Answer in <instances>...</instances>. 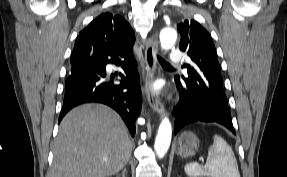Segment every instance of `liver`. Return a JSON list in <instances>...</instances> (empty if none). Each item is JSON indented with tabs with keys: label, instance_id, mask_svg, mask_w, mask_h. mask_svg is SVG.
I'll return each mask as SVG.
<instances>
[{
	"label": "liver",
	"instance_id": "liver-1",
	"mask_svg": "<svg viewBox=\"0 0 287 177\" xmlns=\"http://www.w3.org/2000/svg\"><path fill=\"white\" fill-rule=\"evenodd\" d=\"M132 143L120 116L102 104L72 109L53 143L48 177H108L131 158Z\"/></svg>",
	"mask_w": 287,
	"mask_h": 177
}]
</instances>
